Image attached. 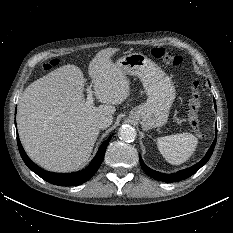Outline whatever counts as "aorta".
I'll return each instance as SVG.
<instances>
[{"label": "aorta", "mask_w": 233, "mask_h": 233, "mask_svg": "<svg viewBox=\"0 0 233 233\" xmlns=\"http://www.w3.org/2000/svg\"><path fill=\"white\" fill-rule=\"evenodd\" d=\"M119 138L125 142H132L135 140L137 132L134 127L130 125H123L119 129Z\"/></svg>", "instance_id": "aorta-1"}]
</instances>
